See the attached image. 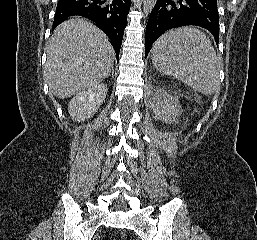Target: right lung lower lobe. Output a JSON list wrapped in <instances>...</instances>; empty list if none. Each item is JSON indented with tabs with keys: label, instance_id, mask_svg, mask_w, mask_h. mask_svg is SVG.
Instances as JSON below:
<instances>
[{
	"label": "right lung lower lobe",
	"instance_id": "obj_1",
	"mask_svg": "<svg viewBox=\"0 0 257 240\" xmlns=\"http://www.w3.org/2000/svg\"><path fill=\"white\" fill-rule=\"evenodd\" d=\"M130 5L131 0H59L53 30L67 17L78 15L88 18L109 37L119 58Z\"/></svg>",
	"mask_w": 257,
	"mask_h": 240
}]
</instances>
